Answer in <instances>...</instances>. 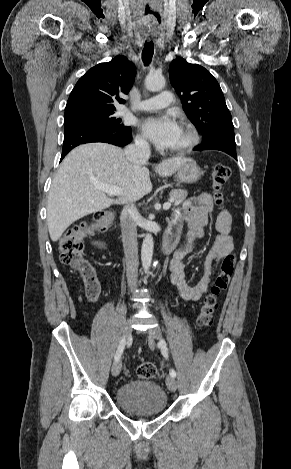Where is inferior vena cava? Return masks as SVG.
Instances as JSON below:
<instances>
[{
  "label": "inferior vena cava",
  "mask_w": 291,
  "mask_h": 469,
  "mask_svg": "<svg viewBox=\"0 0 291 469\" xmlns=\"http://www.w3.org/2000/svg\"><path fill=\"white\" fill-rule=\"evenodd\" d=\"M124 152L131 163H146L150 157V146L146 140L135 138V143L128 145ZM136 214L137 210L133 202H129L126 203L120 217L127 281L132 291L136 287L138 271Z\"/></svg>",
  "instance_id": "1"
}]
</instances>
